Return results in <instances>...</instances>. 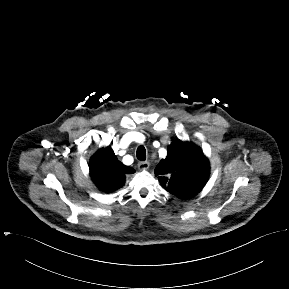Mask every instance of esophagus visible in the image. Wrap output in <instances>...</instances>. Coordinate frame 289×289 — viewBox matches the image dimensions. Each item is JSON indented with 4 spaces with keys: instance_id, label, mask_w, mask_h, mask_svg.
<instances>
[{
    "instance_id": "34e87169",
    "label": "esophagus",
    "mask_w": 289,
    "mask_h": 289,
    "mask_svg": "<svg viewBox=\"0 0 289 289\" xmlns=\"http://www.w3.org/2000/svg\"><path fill=\"white\" fill-rule=\"evenodd\" d=\"M150 166L149 162L148 161H140L138 163V168L141 169V170H146L148 169Z\"/></svg>"
}]
</instances>
